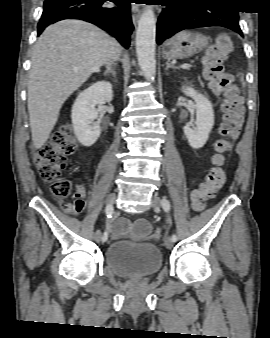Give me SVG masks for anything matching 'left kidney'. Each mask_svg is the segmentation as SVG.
<instances>
[{
    "label": "left kidney",
    "mask_w": 270,
    "mask_h": 338,
    "mask_svg": "<svg viewBox=\"0 0 270 338\" xmlns=\"http://www.w3.org/2000/svg\"><path fill=\"white\" fill-rule=\"evenodd\" d=\"M182 91L185 95L191 97L196 104L195 125H186L183 131L191 147L199 149L206 144L209 133L213 128V107L207 97L198 93L192 87H183Z\"/></svg>",
    "instance_id": "5707ae66"
}]
</instances>
